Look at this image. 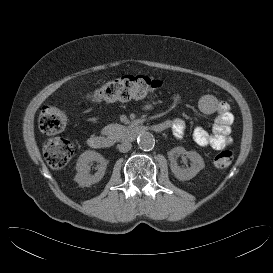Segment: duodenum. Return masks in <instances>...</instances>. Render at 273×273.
Returning a JSON list of instances; mask_svg holds the SVG:
<instances>
[{
  "label": "duodenum",
  "instance_id": "1",
  "mask_svg": "<svg viewBox=\"0 0 273 273\" xmlns=\"http://www.w3.org/2000/svg\"><path fill=\"white\" fill-rule=\"evenodd\" d=\"M165 129V125L163 124H155L152 126H143V125H131L127 127V136L136 139L140 135L153 131V132H161ZM88 146L93 149H106L113 145V141L103 135H92L88 138Z\"/></svg>",
  "mask_w": 273,
  "mask_h": 273
}]
</instances>
